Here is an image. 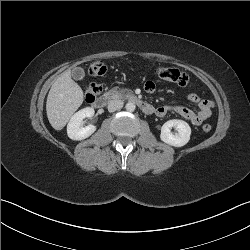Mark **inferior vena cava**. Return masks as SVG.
Listing matches in <instances>:
<instances>
[{
    "mask_svg": "<svg viewBox=\"0 0 250 250\" xmlns=\"http://www.w3.org/2000/svg\"><path fill=\"white\" fill-rule=\"evenodd\" d=\"M123 107L122 100H112L108 104V111L115 112L116 110H120Z\"/></svg>",
    "mask_w": 250,
    "mask_h": 250,
    "instance_id": "inferior-vena-cava-1",
    "label": "inferior vena cava"
}]
</instances>
